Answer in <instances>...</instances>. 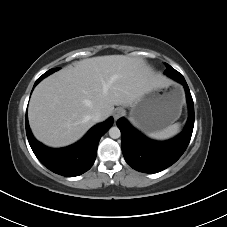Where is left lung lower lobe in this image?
<instances>
[{
    "mask_svg": "<svg viewBox=\"0 0 227 227\" xmlns=\"http://www.w3.org/2000/svg\"><path fill=\"white\" fill-rule=\"evenodd\" d=\"M171 75V78L184 86L189 108L186 127L178 136L168 141H153L134 129L126 119L120 118L117 121L125 161L139 172L156 173L174 164L186 150L192 136L194 104L189 87L181 74Z\"/></svg>",
    "mask_w": 227,
    "mask_h": 227,
    "instance_id": "left-lung-lower-lobe-1",
    "label": "left lung lower lobe"
}]
</instances>
